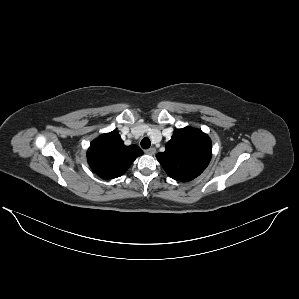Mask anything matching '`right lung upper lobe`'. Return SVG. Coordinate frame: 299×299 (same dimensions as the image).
Here are the masks:
<instances>
[{"label": "right lung upper lobe", "mask_w": 299, "mask_h": 299, "mask_svg": "<svg viewBox=\"0 0 299 299\" xmlns=\"http://www.w3.org/2000/svg\"><path fill=\"white\" fill-rule=\"evenodd\" d=\"M142 154L143 151L137 145L125 146L119 133L112 131L91 142L87 159L98 176L113 179L123 175Z\"/></svg>", "instance_id": "obj_1"}]
</instances>
